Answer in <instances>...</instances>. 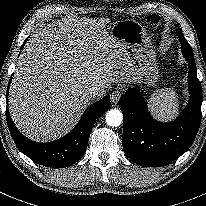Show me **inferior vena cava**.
<instances>
[{
  "instance_id": "1",
  "label": "inferior vena cava",
  "mask_w": 206,
  "mask_h": 206,
  "mask_svg": "<svg viewBox=\"0 0 206 206\" xmlns=\"http://www.w3.org/2000/svg\"><path fill=\"white\" fill-rule=\"evenodd\" d=\"M106 94L104 89H92L90 90L88 97L91 101L99 100Z\"/></svg>"
}]
</instances>
